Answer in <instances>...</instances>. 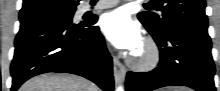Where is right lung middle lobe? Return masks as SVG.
Returning a JSON list of instances; mask_svg holds the SVG:
<instances>
[{
    "mask_svg": "<svg viewBox=\"0 0 220 91\" xmlns=\"http://www.w3.org/2000/svg\"><path fill=\"white\" fill-rule=\"evenodd\" d=\"M75 9L76 8L73 7V8L68 9V10H61V11L50 13L48 15H53V16H57V17H65V18L69 19L70 21H72V17H73V14L75 12Z\"/></svg>",
    "mask_w": 220,
    "mask_h": 91,
    "instance_id": "obj_1",
    "label": "right lung middle lobe"
}]
</instances>
